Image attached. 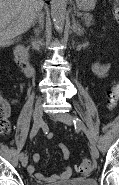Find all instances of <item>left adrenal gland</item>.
I'll use <instances>...</instances> for the list:
<instances>
[{"instance_id": "1", "label": "left adrenal gland", "mask_w": 119, "mask_h": 185, "mask_svg": "<svg viewBox=\"0 0 119 185\" xmlns=\"http://www.w3.org/2000/svg\"><path fill=\"white\" fill-rule=\"evenodd\" d=\"M72 21H73V31L78 35L81 36L84 33V30L82 28V26L80 25V23L78 21L75 20V17L72 16Z\"/></svg>"}]
</instances>
